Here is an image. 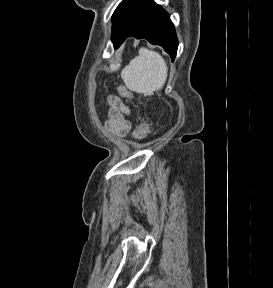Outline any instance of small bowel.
<instances>
[{"mask_svg": "<svg viewBox=\"0 0 273 288\" xmlns=\"http://www.w3.org/2000/svg\"><path fill=\"white\" fill-rule=\"evenodd\" d=\"M107 103L109 108L105 122L106 129L116 136H126L132 127L129 106L117 95H109Z\"/></svg>", "mask_w": 273, "mask_h": 288, "instance_id": "c3829d8e", "label": "small bowel"}]
</instances>
